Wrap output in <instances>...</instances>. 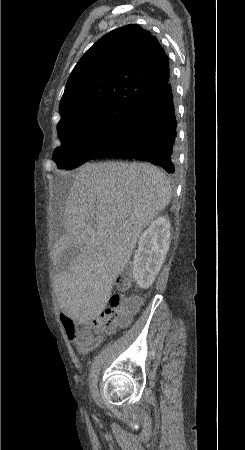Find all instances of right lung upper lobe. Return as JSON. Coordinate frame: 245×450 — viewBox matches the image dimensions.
Masks as SVG:
<instances>
[{
  "mask_svg": "<svg viewBox=\"0 0 245 450\" xmlns=\"http://www.w3.org/2000/svg\"><path fill=\"white\" fill-rule=\"evenodd\" d=\"M170 80L168 57L158 40L136 24L97 41L71 72L59 104L61 117L100 104L131 108Z\"/></svg>",
  "mask_w": 245,
  "mask_h": 450,
  "instance_id": "obj_1",
  "label": "right lung upper lobe"
}]
</instances>
